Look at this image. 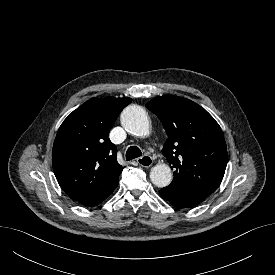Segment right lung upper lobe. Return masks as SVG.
<instances>
[{"instance_id": "1", "label": "right lung upper lobe", "mask_w": 275, "mask_h": 275, "mask_svg": "<svg viewBox=\"0 0 275 275\" xmlns=\"http://www.w3.org/2000/svg\"><path fill=\"white\" fill-rule=\"evenodd\" d=\"M131 98H91L74 110L56 135L52 164L60 187L74 201L106 194L118 185L123 167L108 138Z\"/></svg>"}]
</instances>
